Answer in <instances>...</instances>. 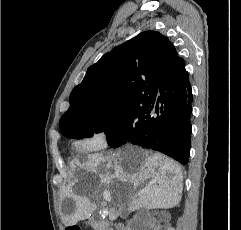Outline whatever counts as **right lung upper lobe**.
Here are the masks:
<instances>
[{"instance_id":"cb5924a9","label":"right lung upper lobe","mask_w":241,"mask_h":230,"mask_svg":"<svg viewBox=\"0 0 241 230\" xmlns=\"http://www.w3.org/2000/svg\"><path fill=\"white\" fill-rule=\"evenodd\" d=\"M178 59L174 45L156 31L142 32L115 47L88 68L71 92L70 107L59 122L61 133L80 122L102 119L114 109L148 102Z\"/></svg>"}]
</instances>
